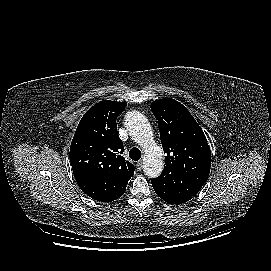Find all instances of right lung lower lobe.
Instances as JSON below:
<instances>
[{"label":"right lung lower lobe","instance_id":"right-lung-lower-lobe-1","mask_svg":"<svg viewBox=\"0 0 271 271\" xmlns=\"http://www.w3.org/2000/svg\"><path fill=\"white\" fill-rule=\"evenodd\" d=\"M75 179L85 194L102 202H110L122 196L127 185L119 180L90 174H77Z\"/></svg>","mask_w":271,"mask_h":271}]
</instances>
